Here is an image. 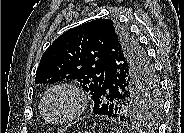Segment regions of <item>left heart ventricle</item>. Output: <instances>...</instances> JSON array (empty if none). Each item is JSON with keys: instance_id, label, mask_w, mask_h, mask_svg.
I'll use <instances>...</instances> for the list:
<instances>
[{"instance_id": "b2bd125f", "label": "left heart ventricle", "mask_w": 184, "mask_h": 133, "mask_svg": "<svg viewBox=\"0 0 184 133\" xmlns=\"http://www.w3.org/2000/svg\"><path fill=\"white\" fill-rule=\"evenodd\" d=\"M73 108L72 97L63 91L53 93L46 102V111L53 119L66 116Z\"/></svg>"}]
</instances>
